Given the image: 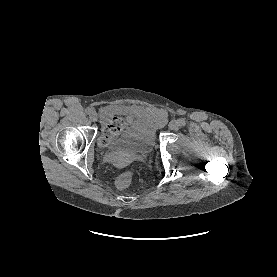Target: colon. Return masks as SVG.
Listing matches in <instances>:
<instances>
[{"label":"colon","instance_id":"1","mask_svg":"<svg viewBox=\"0 0 277 277\" xmlns=\"http://www.w3.org/2000/svg\"><path fill=\"white\" fill-rule=\"evenodd\" d=\"M130 123V120L126 117H114L109 123H107L103 129L100 141L102 143H106L112 138L116 137L125 127H127ZM133 180V173L131 171H127L121 174L116 179V186L119 189H125L130 186Z\"/></svg>","mask_w":277,"mask_h":277}]
</instances>
